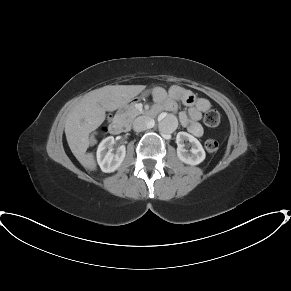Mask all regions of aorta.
Returning <instances> with one entry per match:
<instances>
[{
	"label": "aorta",
	"mask_w": 291,
	"mask_h": 291,
	"mask_svg": "<svg viewBox=\"0 0 291 291\" xmlns=\"http://www.w3.org/2000/svg\"><path fill=\"white\" fill-rule=\"evenodd\" d=\"M178 126V120L174 115L164 114L159 117L158 129L163 134L173 133Z\"/></svg>",
	"instance_id": "762f6f07"
}]
</instances>
